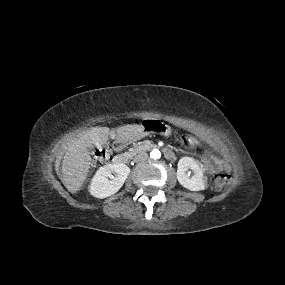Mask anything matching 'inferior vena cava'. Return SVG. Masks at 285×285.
<instances>
[{"mask_svg": "<svg viewBox=\"0 0 285 285\" xmlns=\"http://www.w3.org/2000/svg\"><path fill=\"white\" fill-rule=\"evenodd\" d=\"M148 159V154L145 152L139 153L134 157L135 162H142Z\"/></svg>", "mask_w": 285, "mask_h": 285, "instance_id": "obj_1", "label": "inferior vena cava"}]
</instances>
